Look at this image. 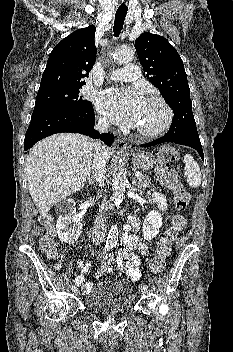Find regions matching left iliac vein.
Here are the masks:
<instances>
[{"mask_svg":"<svg viewBox=\"0 0 233 352\" xmlns=\"http://www.w3.org/2000/svg\"><path fill=\"white\" fill-rule=\"evenodd\" d=\"M146 293H147V291H145V290H143V289L140 290V294H141V295H145Z\"/></svg>","mask_w":233,"mask_h":352,"instance_id":"left-iliac-vein-1","label":"left iliac vein"}]
</instances>
